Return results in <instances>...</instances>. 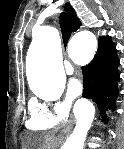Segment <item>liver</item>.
<instances>
[{
  "label": "liver",
  "mask_w": 124,
  "mask_h": 149,
  "mask_svg": "<svg viewBox=\"0 0 124 149\" xmlns=\"http://www.w3.org/2000/svg\"><path fill=\"white\" fill-rule=\"evenodd\" d=\"M29 147L35 149H54L57 145V138L53 134L29 135L26 137Z\"/></svg>",
  "instance_id": "obj_1"
}]
</instances>
